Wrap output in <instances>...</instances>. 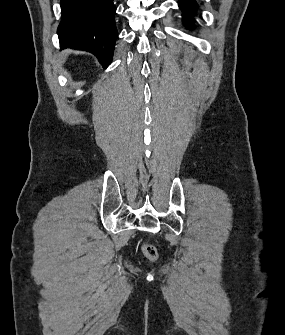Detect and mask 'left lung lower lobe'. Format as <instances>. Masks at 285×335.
<instances>
[{"mask_svg": "<svg viewBox=\"0 0 285 335\" xmlns=\"http://www.w3.org/2000/svg\"><path fill=\"white\" fill-rule=\"evenodd\" d=\"M179 7L183 11V22L186 27L193 28L192 15L197 10V3L195 0H179Z\"/></svg>", "mask_w": 285, "mask_h": 335, "instance_id": "0a47b994", "label": "left lung lower lobe"}]
</instances>
